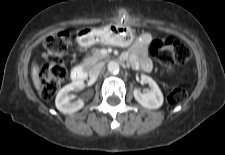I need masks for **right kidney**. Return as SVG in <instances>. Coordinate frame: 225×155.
<instances>
[{
	"mask_svg": "<svg viewBox=\"0 0 225 155\" xmlns=\"http://www.w3.org/2000/svg\"><path fill=\"white\" fill-rule=\"evenodd\" d=\"M82 87L83 81H75L64 86L56 96V108L64 114H71L83 108V100L79 99L77 101L71 102V96L69 95L70 91H73L75 89H81Z\"/></svg>",
	"mask_w": 225,
	"mask_h": 155,
	"instance_id": "ca27d5eb",
	"label": "right kidney"
}]
</instances>
